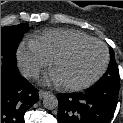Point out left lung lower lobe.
Segmentation results:
<instances>
[{"mask_svg":"<svg viewBox=\"0 0 123 123\" xmlns=\"http://www.w3.org/2000/svg\"><path fill=\"white\" fill-rule=\"evenodd\" d=\"M119 86L95 84L83 93L58 94L59 123H109L118 102Z\"/></svg>","mask_w":123,"mask_h":123,"instance_id":"obj_1","label":"left lung lower lobe"}]
</instances>
